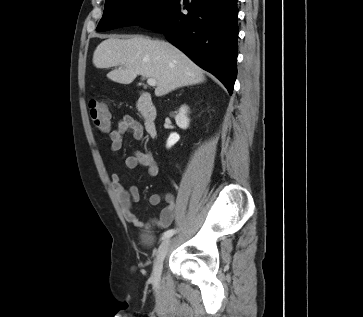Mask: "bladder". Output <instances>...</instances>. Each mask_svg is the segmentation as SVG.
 <instances>
[{
    "label": "bladder",
    "instance_id": "bladder-1",
    "mask_svg": "<svg viewBox=\"0 0 363 317\" xmlns=\"http://www.w3.org/2000/svg\"><path fill=\"white\" fill-rule=\"evenodd\" d=\"M141 240H142V243L145 246L150 247V246H152L154 244L155 238H154V235L152 233L143 232L141 234Z\"/></svg>",
    "mask_w": 363,
    "mask_h": 317
}]
</instances>
